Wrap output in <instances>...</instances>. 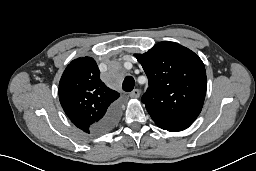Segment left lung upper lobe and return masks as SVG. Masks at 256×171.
I'll list each match as a JSON object with an SVG mask.
<instances>
[{
    "label": "left lung upper lobe",
    "instance_id": "5c2ea615",
    "mask_svg": "<svg viewBox=\"0 0 256 171\" xmlns=\"http://www.w3.org/2000/svg\"><path fill=\"white\" fill-rule=\"evenodd\" d=\"M135 56L148 77L149 88L142 102L155 124L170 132L188 128L205 99L207 81L202 60L190 49L169 41Z\"/></svg>",
    "mask_w": 256,
    "mask_h": 171
}]
</instances>
